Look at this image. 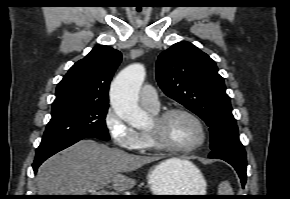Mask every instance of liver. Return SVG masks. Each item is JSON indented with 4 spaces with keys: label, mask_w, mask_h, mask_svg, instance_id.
Returning <instances> with one entry per match:
<instances>
[{
    "label": "liver",
    "mask_w": 290,
    "mask_h": 199,
    "mask_svg": "<svg viewBox=\"0 0 290 199\" xmlns=\"http://www.w3.org/2000/svg\"><path fill=\"white\" fill-rule=\"evenodd\" d=\"M159 157L129 154L109 148L92 139H84L47 159L38 169L36 181L39 195H88L111 184L116 191L133 188L135 179L124 175ZM164 163L176 168L191 164L188 160L171 158Z\"/></svg>",
    "instance_id": "6515ba94"
}]
</instances>
